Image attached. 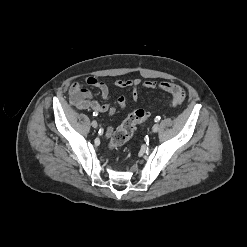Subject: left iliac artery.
Instances as JSON below:
<instances>
[{"instance_id":"left-iliac-artery-1","label":"left iliac artery","mask_w":247,"mask_h":247,"mask_svg":"<svg viewBox=\"0 0 247 247\" xmlns=\"http://www.w3.org/2000/svg\"><path fill=\"white\" fill-rule=\"evenodd\" d=\"M160 116H157L156 118H155V122H158V121H160Z\"/></svg>"}]
</instances>
